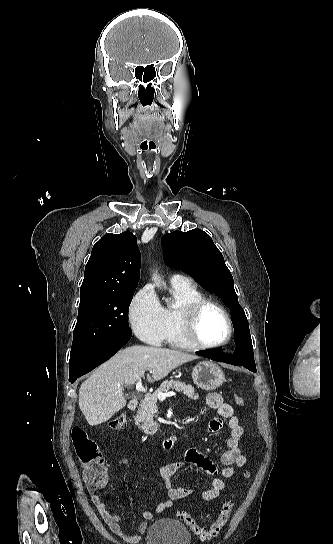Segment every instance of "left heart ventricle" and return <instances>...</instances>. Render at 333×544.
Instances as JSON below:
<instances>
[{
  "label": "left heart ventricle",
  "instance_id": "b2bd125f",
  "mask_svg": "<svg viewBox=\"0 0 333 544\" xmlns=\"http://www.w3.org/2000/svg\"><path fill=\"white\" fill-rule=\"evenodd\" d=\"M198 336L203 343L212 344L223 341L228 334V326L223 313L214 306H208L198 322Z\"/></svg>",
  "mask_w": 333,
  "mask_h": 544
}]
</instances>
